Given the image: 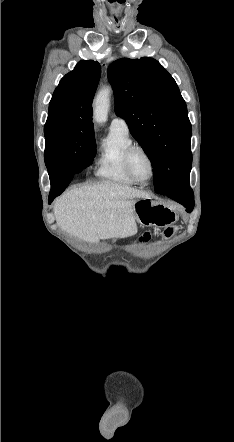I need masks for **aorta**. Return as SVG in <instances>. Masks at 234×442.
I'll return each mask as SVG.
<instances>
[{
	"instance_id": "762f6f07",
	"label": "aorta",
	"mask_w": 234,
	"mask_h": 442,
	"mask_svg": "<svg viewBox=\"0 0 234 442\" xmlns=\"http://www.w3.org/2000/svg\"><path fill=\"white\" fill-rule=\"evenodd\" d=\"M110 104V89L104 88L94 100V119L99 123L107 120V114Z\"/></svg>"
}]
</instances>
